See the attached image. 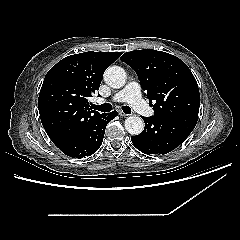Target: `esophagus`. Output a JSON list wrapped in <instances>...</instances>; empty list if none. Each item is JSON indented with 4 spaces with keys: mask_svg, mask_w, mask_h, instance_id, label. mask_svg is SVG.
I'll return each mask as SVG.
<instances>
[{
    "mask_svg": "<svg viewBox=\"0 0 240 240\" xmlns=\"http://www.w3.org/2000/svg\"><path fill=\"white\" fill-rule=\"evenodd\" d=\"M119 115L122 117H126L128 116L126 113H124L123 111H118Z\"/></svg>",
    "mask_w": 240,
    "mask_h": 240,
    "instance_id": "obj_1",
    "label": "esophagus"
}]
</instances>
